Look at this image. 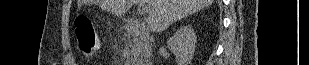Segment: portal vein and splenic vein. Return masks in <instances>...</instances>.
Listing matches in <instances>:
<instances>
[{
  "mask_svg": "<svg viewBox=\"0 0 309 65\" xmlns=\"http://www.w3.org/2000/svg\"><path fill=\"white\" fill-rule=\"evenodd\" d=\"M150 12V7H147L146 5H143L142 13L147 14Z\"/></svg>",
  "mask_w": 309,
  "mask_h": 65,
  "instance_id": "obj_1",
  "label": "portal vein and splenic vein"
}]
</instances>
